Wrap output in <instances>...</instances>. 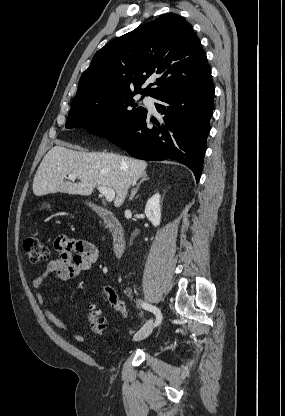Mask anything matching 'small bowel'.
I'll return each mask as SVG.
<instances>
[{
  "mask_svg": "<svg viewBox=\"0 0 285 416\" xmlns=\"http://www.w3.org/2000/svg\"><path fill=\"white\" fill-rule=\"evenodd\" d=\"M54 246L58 256L51 260L43 273L33 281L35 288H40L50 277H57L63 282L76 278L82 272L88 271L98 259V248L87 240L59 236ZM36 298L46 319L58 329L66 331V324L46 305L44 294L39 292ZM85 338L86 334L74 335L78 342L84 341Z\"/></svg>",
  "mask_w": 285,
  "mask_h": 416,
  "instance_id": "small-bowel-1",
  "label": "small bowel"
}]
</instances>
